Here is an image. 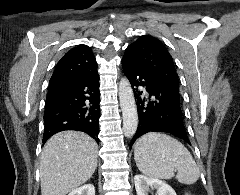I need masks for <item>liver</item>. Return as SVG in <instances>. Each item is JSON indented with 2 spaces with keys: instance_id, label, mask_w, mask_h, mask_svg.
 Wrapping results in <instances>:
<instances>
[{
  "instance_id": "liver-1",
  "label": "liver",
  "mask_w": 240,
  "mask_h": 195,
  "mask_svg": "<svg viewBox=\"0 0 240 195\" xmlns=\"http://www.w3.org/2000/svg\"><path fill=\"white\" fill-rule=\"evenodd\" d=\"M98 145L83 131H59L46 141L40 161L41 195H66L93 175Z\"/></svg>"
}]
</instances>
